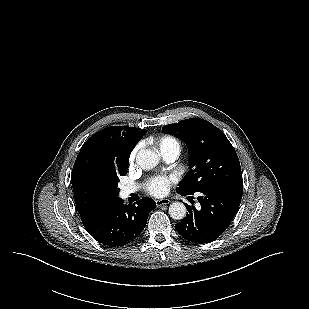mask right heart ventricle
<instances>
[{
    "label": "right heart ventricle",
    "mask_w": 309,
    "mask_h": 309,
    "mask_svg": "<svg viewBox=\"0 0 309 309\" xmlns=\"http://www.w3.org/2000/svg\"><path fill=\"white\" fill-rule=\"evenodd\" d=\"M156 143L161 153L167 150H172V149H176L180 152V148H181L180 142L174 136H170V135L161 136L157 139Z\"/></svg>",
    "instance_id": "obj_1"
}]
</instances>
